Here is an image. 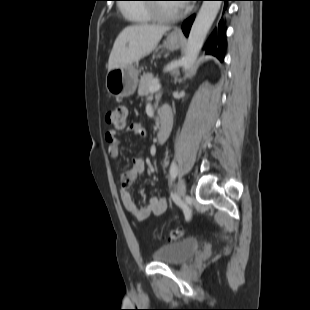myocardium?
Returning <instances> with one entry per match:
<instances>
[{"mask_svg": "<svg viewBox=\"0 0 310 310\" xmlns=\"http://www.w3.org/2000/svg\"><path fill=\"white\" fill-rule=\"evenodd\" d=\"M150 11L153 15V18L158 21H169L176 19L182 15V11H173V12H166L163 9L162 5H152L150 7Z\"/></svg>", "mask_w": 310, "mask_h": 310, "instance_id": "obj_1", "label": "myocardium"}]
</instances>
